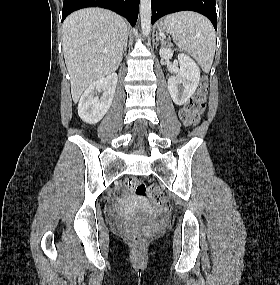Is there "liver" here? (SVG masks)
Segmentation results:
<instances>
[{"instance_id":"1","label":"liver","mask_w":280,"mask_h":285,"mask_svg":"<svg viewBox=\"0 0 280 285\" xmlns=\"http://www.w3.org/2000/svg\"><path fill=\"white\" fill-rule=\"evenodd\" d=\"M127 35L124 19L109 10L82 9L65 19L63 53L74 102L93 82L119 67Z\"/></svg>"}]
</instances>
